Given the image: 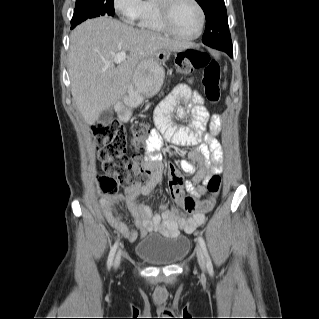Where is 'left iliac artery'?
I'll return each mask as SVG.
<instances>
[{
  "instance_id": "obj_1",
  "label": "left iliac artery",
  "mask_w": 319,
  "mask_h": 319,
  "mask_svg": "<svg viewBox=\"0 0 319 319\" xmlns=\"http://www.w3.org/2000/svg\"><path fill=\"white\" fill-rule=\"evenodd\" d=\"M198 241L202 247V250H203L205 257H206V260H207V269H208L209 273L212 274L213 273V266H212V262L210 260L207 248H206L205 241L201 236L198 237Z\"/></svg>"
}]
</instances>
